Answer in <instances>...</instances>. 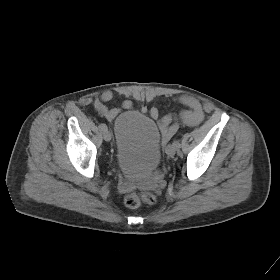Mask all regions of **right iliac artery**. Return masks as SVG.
<instances>
[{"mask_svg":"<svg viewBox=\"0 0 280 280\" xmlns=\"http://www.w3.org/2000/svg\"><path fill=\"white\" fill-rule=\"evenodd\" d=\"M99 129L101 130V131H105V130H107V126L105 125V124H100L99 125Z\"/></svg>","mask_w":280,"mask_h":280,"instance_id":"1","label":"right iliac artery"}]
</instances>
